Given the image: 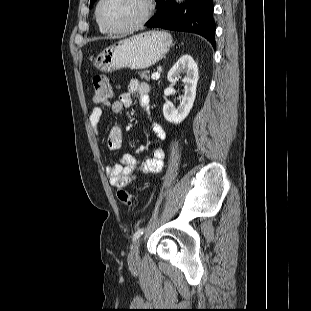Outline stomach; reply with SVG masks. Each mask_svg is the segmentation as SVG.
Wrapping results in <instances>:
<instances>
[{"instance_id":"obj_1","label":"stomach","mask_w":311,"mask_h":311,"mask_svg":"<svg viewBox=\"0 0 311 311\" xmlns=\"http://www.w3.org/2000/svg\"><path fill=\"white\" fill-rule=\"evenodd\" d=\"M172 46V37L165 31H148L118 41L103 50L94 65L109 73L122 68L145 69L160 61Z\"/></svg>"}]
</instances>
